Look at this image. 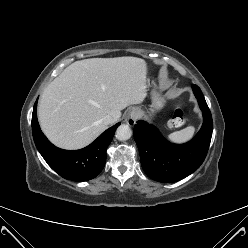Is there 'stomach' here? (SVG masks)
<instances>
[{
	"label": "stomach",
	"mask_w": 248,
	"mask_h": 248,
	"mask_svg": "<svg viewBox=\"0 0 248 248\" xmlns=\"http://www.w3.org/2000/svg\"><path fill=\"white\" fill-rule=\"evenodd\" d=\"M152 105H151V113H153L154 111L156 110H159L161 109L164 105H165V99L164 97H162L159 93L157 92H153V95H152ZM140 111V115L143 116L145 115V111L143 110H139Z\"/></svg>",
	"instance_id": "obj_1"
}]
</instances>
